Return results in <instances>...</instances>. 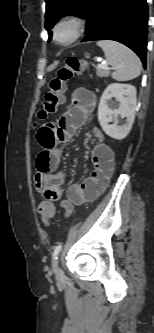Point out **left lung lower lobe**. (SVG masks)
Here are the masks:
<instances>
[{
	"instance_id": "1",
	"label": "left lung lower lobe",
	"mask_w": 154,
	"mask_h": 333,
	"mask_svg": "<svg viewBox=\"0 0 154 333\" xmlns=\"http://www.w3.org/2000/svg\"><path fill=\"white\" fill-rule=\"evenodd\" d=\"M83 41L114 40L132 49L146 64L148 7L146 0H97L86 17ZM49 38L48 41H50Z\"/></svg>"
}]
</instances>
